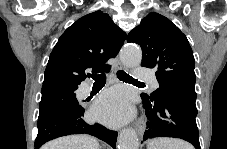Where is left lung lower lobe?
<instances>
[{"label":"left lung lower lobe","instance_id":"left-lung-lower-lobe-1","mask_svg":"<svg viewBox=\"0 0 227 149\" xmlns=\"http://www.w3.org/2000/svg\"><path fill=\"white\" fill-rule=\"evenodd\" d=\"M141 97L148 119L144 140L154 137L180 138L200 149L195 102L177 96H165L156 100L144 94Z\"/></svg>","mask_w":227,"mask_h":149}]
</instances>
